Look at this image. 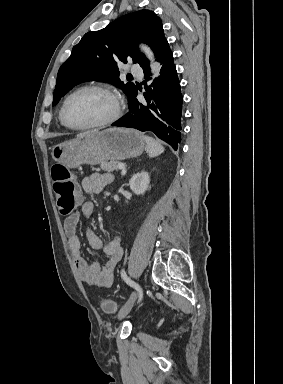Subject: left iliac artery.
Instances as JSON below:
<instances>
[{
	"label": "left iliac artery",
	"mask_w": 283,
	"mask_h": 384,
	"mask_svg": "<svg viewBox=\"0 0 283 384\" xmlns=\"http://www.w3.org/2000/svg\"><path fill=\"white\" fill-rule=\"evenodd\" d=\"M121 277L123 278V280L128 284L130 285L131 287H133L135 290H137L138 294H139V301L141 300L142 298V288L134 281H132L126 274L125 270L122 269L121 271Z\"/></svg>",
	"instance_id": "44dca946"
}]
</instances>
